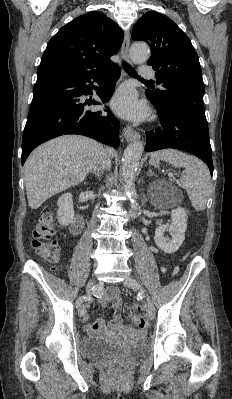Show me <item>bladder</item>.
<instances>
[{"label":"bladder","mask_w":232,"mask_h":399,"mask_svg":"<svg viewBox=\"0 0 232 399\" xmlns=\"http://www.w3.org/2000/svg\"><path fill=\"white\" fill-rule=\"evenodd\" d=\"M146 341H139L132 345H119L105 342L98 338L84 337L79 343V353L87 359H101L107 357H134L147 352Z\"/></svg>","instance_id":"obj_1"}]
</instances>
